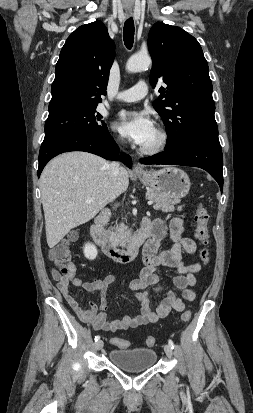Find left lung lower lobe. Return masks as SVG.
Returning <instances> with one entry per match:
<instances>
[{"label": "left lung lower lobe", "mask_w": 253, "mask_h": 413, "mask_svg": "<svg viewBox=\"0 0 253 413\" xmlns=\"http://www.w3.org/2000/svg\"><path fill=\"white\" fill-rule=\"evenodd\" d=\"M142 164H169L199 167L206 170L223 190V157L219 141L196 139L177 148L165 149L154 156L141 158Z\"/></svg>", "instance_id": "0a47b994"}]
</instances>
